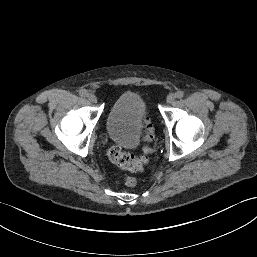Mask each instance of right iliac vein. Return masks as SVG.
<instances>
[{
  "label": "right iliac vein",
  "mask_w": 257,
  "mask_h": 257,
  "mask_svg": "<svg viewBox=\"0 0 257 257\" xmlns=\"http://www.w3.org/2000/svg\"><path fill=\"white\" fill-rule=\"evenodd\" d=\"M87 98L92 103H96L97 102V98H96L95 94H93V93H87Z\"/></svg>",
  "instance_id": "1"
}]
</instances>
